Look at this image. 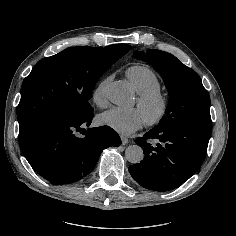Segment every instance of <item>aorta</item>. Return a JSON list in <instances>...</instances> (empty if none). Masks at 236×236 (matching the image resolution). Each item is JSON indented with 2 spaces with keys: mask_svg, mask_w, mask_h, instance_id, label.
Listing matches in <instances>:
<instances>
[{
  "mask_svg": "<svg viewBox=\"0 0 236 236\" xmlns=\"http://www.w3.org/2000/svg\"><path fill=\"white\" fill-rule=\"evenodd\" d=\"M109 99L115 104H120L126 101L127 94L121 89L111 88L109 91ZM125 157L130 163L137 164L143 160L144 153L139 145L134 144L126 148Z\"/></svg>",
  "mask_w": 236,
  "mask_h": 236,
  "instance_id": "aorta-1",
  "label": "aorta"
}]
</instances>
